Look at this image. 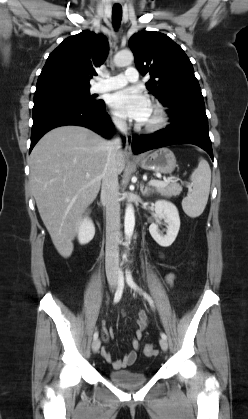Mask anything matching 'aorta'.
I'll return each instance as SVG.
<instances>
[{
	"mask_svg": "<svg viewBox=\"0 0 248 419\" xmlns=\"http://www.w3.org/2000/svg\"><path fill=\"white\" fill-rule=\"evenodd\" d=\"M134 60L133 53L131 51H121L114 56V64L118 67H124L130 65ZM135 226V215L134 208L131 204H128L125 210L124 218V232L126 241H130Z\"/></svg>",
	"mask_w": 248,
	"mask_h": 419,
	"instance_id": "1",
	"label": "aorta"
}]
</instances>
